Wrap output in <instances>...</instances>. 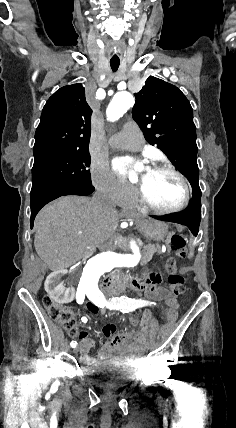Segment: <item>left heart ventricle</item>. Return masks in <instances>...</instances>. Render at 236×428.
<instances>
[{"mask_svg":"<svg viewBox=\"0 0 236 428\" xmlns=\"http://www.w3.org/2000/svg\"><path fill=\"white\" fill-rule=\"evenodd\" d=\"M133 178L144 189L147 196L161 207H174L183 199V186L180 180L170 172H155L141 167Z\"/></svg>","mask_w":236,"mask_h":428,"instance_id":"1","label":"left heart ventricle"}]
</instances>
